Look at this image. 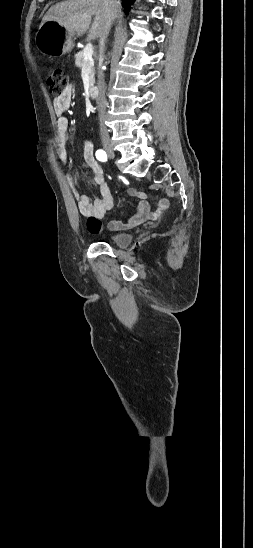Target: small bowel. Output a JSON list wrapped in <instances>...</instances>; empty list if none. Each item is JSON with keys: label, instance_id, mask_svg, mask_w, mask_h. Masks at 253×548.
I'll return each instance as SVG.
<instances>
[{"label": "small bowel", "instance_id": "obj_1", "mask_svg": "<svg viewBox=\"0 0 253 548\" xmlns=\"http://www.w3.org/2000/svg\"><path fill=\"white\" fill-rule=\"evenodd\" d=\"M72 95L73 87L68 85L66 89L53 100V108L57 116L56 134L53 139V144L57 156L63 163L69 161L67 151L69 121L65 114L70 109ZM83 157L86 165L92 172L93 181L98 189L100 197L92 200L88 195L79 193L75 187L74 178L71 174H66V180L74 191L79 212L87 219V228L89 232L92 234H99L102 230L101 220L106 212L113 209L114 198L104 178L102 167L95 159L94 146L91 139H87L84 143ZM129 195L140 201L136 212L125 222L112 220L108 225L110 230L118 231L135 227L149 219L155 218L162 209L167 207V201L162 200L159 208L155 212H151L148 203L145 201L146 192L130 190Z\"/></svg>", "mask_w": 253, "mask_h": 548}]
</instances>
